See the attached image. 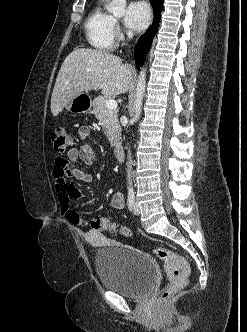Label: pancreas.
Wrapping results in <instances>:
<instances>
[{"label": "pancreas", "mask_w": 247, "mask_h": 332, "mask_svg": "<svg viewBox=\"0 0 247 332\" xmlns=\"http://www.w3.org/2000/svg\"><path fill=\"white\" fill-rule=\"evenodd\" d=\"M106 97L99 96L93 101V113L103 127L112 147L120 145L121 128L118 122L116 109H108L105 105Z\"/></svg>", "instance_id": "pancreas-1"}]
</instances>
